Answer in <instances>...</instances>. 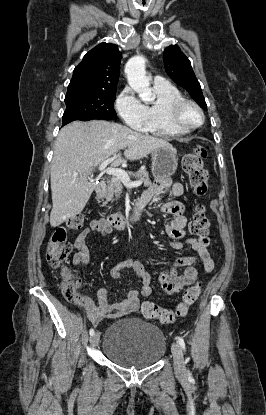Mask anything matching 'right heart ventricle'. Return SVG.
<instances>
[{
    "label": "right heart ventricle",
    "instance_id": "e07e8e85",
    "mask_svg": "<svg viewBox=\"0 0 266 415\" xmlns=\"http://www.w3.org/2000/svg\"><path fill=\"white\" fill-rule=\"evenodd\" d=\"M153 90L156 98L146 105L147 116L142 130L161 137H177L186 134L187 131L175 127L167 116L168 104L182 97L181 92L168 82L154 83Z\"/></svg>",
    "mask_w": 266,
    "mask_h": 415
}]
</instances>
